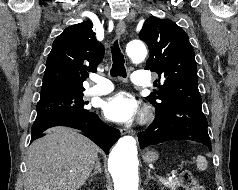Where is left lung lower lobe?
<instances>
[{
    "mask_svg": "<svg viewBox=\"0 0 238 190\" xmlns=\"http://www.w3.org/2000/svg\"><path fill=\"white\" fill-rule=\"evenodd\" d=\"M138 138L141 148L175 139L192 140L211 147L201 104L181 103L156 110L153 123L140 132Z\"/></svg>",
    "mask_w": 238,
    "mask_h": 190,
    "instance_id": "left-lung-lower-lobe-1",
    "label": "left lung lower lobe"
}]
</instances>
